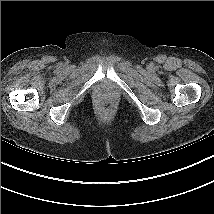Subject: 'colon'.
Returning <instances> with one entry per match:
<instances>
[{"label": "colon", "instance_id": "colon-1", "mask_svg": "<svg viewBox=\"0 0 214 214\" xmlns=\"http://www.w3.org/2000/svg\"><path fill=\"white\" fill-rule=\"evenodd\" d=\"M110 106H111V104L108 103V102H103V103H102V107H103L104 109H107V108H109Z\"/></svg>", "mask_w": 214, "mask_h": 214}]
</instances>
